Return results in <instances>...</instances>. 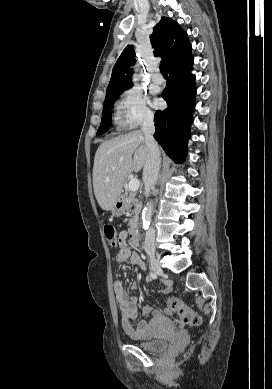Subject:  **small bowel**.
<instances>
[{
	"instance_id": "1",
	"label": "small bowel",
	"mask_w": 272,
	"mask_h": 389,
	"mask_svg": "<svg viewBox=\"0 0 272 389\" xmlns=\"http://www.w3.org/2000/svg\"><path fill=\"white\" fill-rule=\"evenodd\" d=\"M127 234L121 233L118 240L119 251L116 254V262L122 264L126 261L137 265L141 270H145L144 263L139 255L133 252L127 244ZM137 283L131 284V289H136ZM115 298L121 314V323L123 330L132 340H147L153 335L151 329V323L146 320L138 322L137 327H133V323L138 318V303L137 297H129L124 289L123 283L120 280H116L113 285ZM171 290L170 285L165 284L161 290L163 294H168ZM145 314L151 313L155 319L161 317V313L152 309L150 306L143 308Z\"/></svg>"
}]
</instances>
